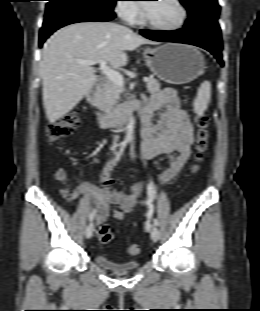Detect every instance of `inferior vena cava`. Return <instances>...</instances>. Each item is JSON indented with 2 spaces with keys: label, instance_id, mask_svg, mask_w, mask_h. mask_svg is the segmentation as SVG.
I'll return each mask as SVG.
<instances>
[{
  "label": "inferior vena cava",
  "instance_id": "1",
  "mask_svg": "<svg viewBox=\"0 0 260 311\" xmlns=\"http://www.w3.org/2000/svg\"><path fill=\"white\" fill-rule=\"evenodd\" d=\"M118 139V136H115V141Z\"/></svg>",
  "mask_w": 260,
  "mask_h": 311
}]
</instances>
